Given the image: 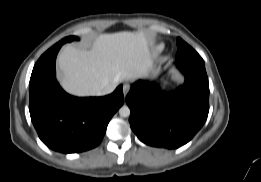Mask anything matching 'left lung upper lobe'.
<instances>
[{"label": "left lung upper lobe", "instance_id": "obj_1", "mask_svg": "<svg viewBox=\"0 0 261 182\" xmlns=\"http://www.w3.org/2000/svg\"><path fill=\"white\" fill-rule=\"evenodd\" d=\"M178 52L176 54V61H200L203 62L201 56L181 38H177Z\"/></svg>", "mask_w": 261, "mask_h": 182}]
</instances>
